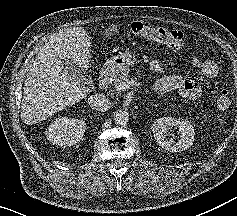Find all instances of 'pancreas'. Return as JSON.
Listing matches in <instances>:
<instances>
[{
	"mask_svg": "<svg viewBox=\"0 0 237 216\" xmlns=\"http://www.w3.org/2000/svg\"><path fill=\"white\" fill-rule=\"evenodd\" d=\"M119 78H125V76H123V75H120V76H119Z\"/></svg>",
	"mask_w": 237,
	"mask_h": 216,
	"instance_id": "cf45deb5",
	"label": "pancreas"
}]
</instances>
